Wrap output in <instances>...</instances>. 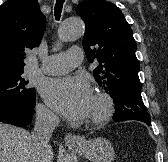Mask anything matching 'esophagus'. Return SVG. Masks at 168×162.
I'll return each instance as SVG.
<instances>
[{"mask_svg":"<svg viewBox=\"0 0 168 162\" xmlns=\"http://www.w3.org/2000/svg\"><path fill=\"white\" fill-rule=\"evenodd\" d=\"M64 142L67 145H77L82 142V139L78 136L71 134V133H67L65 135Z\"/></svg>","mask_w":168,"mask_h":162,"instance_id":"1","label":"esophagus"}]
</instances>
